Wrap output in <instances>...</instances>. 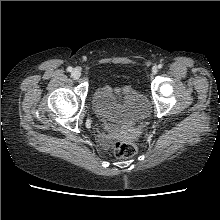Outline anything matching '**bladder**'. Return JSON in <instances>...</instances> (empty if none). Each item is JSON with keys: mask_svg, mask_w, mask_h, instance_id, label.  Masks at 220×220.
<instances>
[{"mask_svg": "<svg viewBox=\"0 0 220 220\" xmlns=\"http://www.w3.org/2000/svg\"><path fill=\"white\" fill-rule=\"evenodd\" d=\"M95 106L109 107V119L118 125H129L145 119L150 113V105L146 96L140 91H132L129 101L124 107H118L112 99V92L107 83H98L92 92Z\"/></svg>", "mask_w": 220, "mask_h": 220, "instance_id": "31cf9c89", "label": "bladder"}]
</instances>
